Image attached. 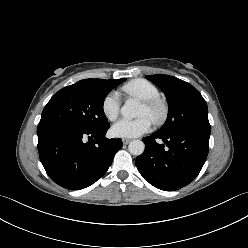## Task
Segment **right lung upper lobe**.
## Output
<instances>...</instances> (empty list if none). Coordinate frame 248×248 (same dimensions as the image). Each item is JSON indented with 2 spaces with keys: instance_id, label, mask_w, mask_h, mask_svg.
I'll return each mask as SVG.
<instances>
[{
  "instance_id": "cb5924a9",
  "label": "right lung upper lobe",
  "mask_w": 248,
  "mask_h": 248,
  "mask_svg": "<svg viewBox=\"0 0 248 248\" xmlns=\"http://www.w3.org/2000/svg\"><path fill=\"white\" fill-rule=\"evenodd\" d=\"M82 81L88 82V83H93V84H98V83H102V82L107 81V80H103V79H84Z\"/></svg>"
}]
</instances>
